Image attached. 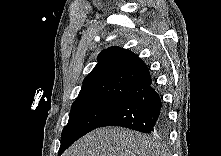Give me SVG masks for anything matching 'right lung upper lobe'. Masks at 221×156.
Masks as SVG:
<instances>
[{
  "label": "right lung upper lobe",
  "instance_id": "right-lung-upper-lobe-1",
  "mask_svg": "<svg viewBox=\"0 0 221 156\" xmlns=\"http://www.w3.org/2000/svg\"><path fill=\"white\" fill-rule=\"evenodd\" d=\"M151 85L145 63L130 50L114 46L100 52L97 65L85 77L76 99L91 96L128 99Z\"/></svg>",
  "mask_w": 221,
  "mask_h": 156
}]
</instances>
